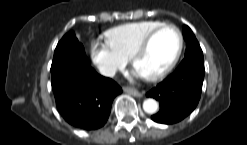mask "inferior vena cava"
<instances>
[{"label": "inferior vena cava", "mask_w": 247, "mask_h": 145, "mask_svg": "<svg viewBox=\"0 0 247 145\" xmlns=\"http://www.w3.org/2000/svg\"><path fill=\"white\" fill-rule=\"evenodd\" d=\"M99 71L104 76L114 77L116 73V68L114 66L101 65L99 66Z\"/></svg>", "instance_id": "602c4592"}]
</instances>
